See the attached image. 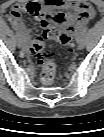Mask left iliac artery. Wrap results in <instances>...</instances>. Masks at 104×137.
I'll return each instance as SVG.
<instances>
[{
  "instance_id": "44dca946",
  "label": "left iliac artery",
  "mask_w": 104,
  "mask_h": 137,
  "mask_svg": "<svg viewBox=\"0 0 104 137\" xmlns=\"http://www.w3.org/2000/svg\"><path fill=\"white\" fill-rule=\"evenodd\" d=\"M86 32H87V29H84V30L81 32L80 39H83V38H84V35L86 34Z\"/></svg>"
}]
</instances>
